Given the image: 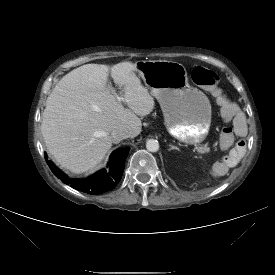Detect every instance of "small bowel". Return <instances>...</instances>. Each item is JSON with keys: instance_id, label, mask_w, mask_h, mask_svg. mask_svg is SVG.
<instances>
[{"instance_id": "c3829d8e", "label": "small bowel", "mask_w": 275, "mask_h": 275, "mask_svg": "<svg viewBox=\"0 0 275 275\" xmlns=\"http://www.w3.org/2000/svg\"><path fill=\"white\" fill-rule=\"evenodd\" d=\"M235 112L232 116L233 129L225 128L220 134V140L222 148L226 149L222 151L214 163L210 165L208 174L211 179L220 181L225 178L226 174L237 170L241 164V156L233 149H227L231 147L234 139V134L243 136L247 131V124L244 114L240 111L237 104L230 105Z\"/></svg>"}]
</instances>
